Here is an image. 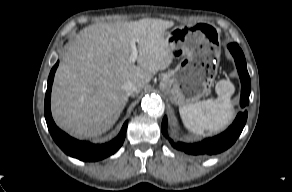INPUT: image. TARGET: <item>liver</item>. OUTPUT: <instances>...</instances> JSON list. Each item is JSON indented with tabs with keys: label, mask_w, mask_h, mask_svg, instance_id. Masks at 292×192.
<instances>
[{
	"label": "liver",
	"mask_w": 292,
	"mask_h": 192,
	"mask_svg": "<svg viewBox=\"0 0 292 192\" xmlns=\"http://www.w3.org/2000/svg\"><path fill=\"white\" fill-rule=\"evenodd\" d=\"M173 21L144 18L90 25L70 43L56 72L51 110L56 124L77 136L97 137L120 117L131 81L138 95L153 76L170 66L173 51L165 31ZM137 41V65L130 61Z\"/></svg>",
	"instance_id": "obj_1"
}]
</instances>
